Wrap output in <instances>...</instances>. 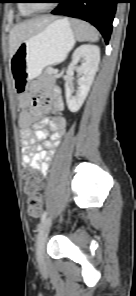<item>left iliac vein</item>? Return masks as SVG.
<instances>
[{
    "label": "left iliac vein",
    "instance_id": "4c4485c4",
    "mask_svg": "<svg viewBox=\"0 0 136 296\" xmlns=\"http://www.w3.org/2000/svg\"><path fill=\"white\" fill-rule=\"evenodd\" d=\"M51 223H52L51 217H48L47 219H45V221L41 225L40 232L37 239L36 256H37V261L40 268L45 267L44 250H45L47 235L51 227Z\"/></svg>",
    "mask_w": 136,
    "mask_h": 296
}]
</instances>
